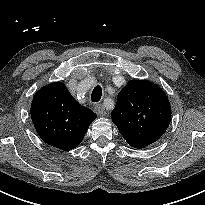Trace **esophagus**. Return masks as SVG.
Here are the masks:
<instances>
[{
    "instance_id": "obj_1",
    "label": "esophagus",
    "mask_w": 205,
    "mask_h": 205,
    "mask_svg": "<svg viewBox=\"0 0 205 205\" xmlns=\"http://www.w3.org/2000/svg\"><path fill=\"white\" fill-rule=\"evenodd\" d=\"M95 112L99 115V116H105L106 111L105 108L102 104H96L95 107Z\"/></svg>"
}]
</instances>
